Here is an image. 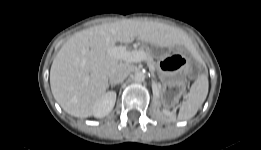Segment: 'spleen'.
Instances as JSON below:
<instances>
[{"instance_id":"spleen-1","label":"spleen","mask_w":261,"mask_h":150,"mask_svg":"<svg viewBox=\"0 0 261 150\" xmlns=\"http://www.w3.org/2000/svg\"><path fill=\"white\" fill-rule=\"evenodd\" d=\"M207 75L199 76L192 84L188 98L181 104L178 119L188 120L194 117L208 94Z\"/></svg>"}]
</instances>
